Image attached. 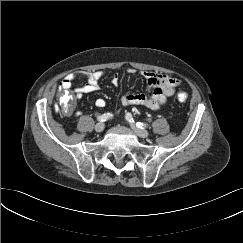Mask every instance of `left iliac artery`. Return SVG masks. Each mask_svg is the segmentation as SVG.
<instances>
[{"label":"left iliac artery","instance_id":"obj_1","mask_svg":"<svg viewBox=\"0 0 243 243\" xmlns=\"http://www.w3.org/2000/svg\"><path fill=\"white\" fill-rule=\"evenodd\" d=\"M126 119H127L129 122H131V123H134V122H135L134 119H133V117H132V114L129 113V112L126 114ZM136 126H137L138 128L143 129L144 127H148L149 125L146 124V123L137 122V123H136Z\"/></svg>","mask_w":243,"mask_h":243}]
</instances>
